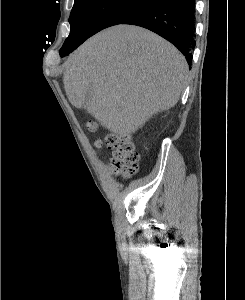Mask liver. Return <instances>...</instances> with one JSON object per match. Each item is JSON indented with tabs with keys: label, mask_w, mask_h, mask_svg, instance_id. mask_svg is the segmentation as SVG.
<instances>
[{
	"label": "liver",
	"mask_w": 245,
	"mask_h": 300,
	"mask_svg": "<svg viewBox=\"0 0 245 300\" xmlns=\"http://www.w3.org/2000/svg\"><path fill=\"white\" fill-rule=\"evenodd\" d=\"M187 80L185 58L171 43L141 27L116 25L70 55L64 88L73 106L125 138L174 107Z\"/></svg>",
	"instance_id": "liver-1"
}]
</instances>
